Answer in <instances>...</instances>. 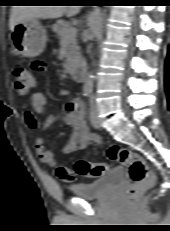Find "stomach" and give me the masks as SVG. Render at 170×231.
Masks as SVG:
<instances>
[{
  "label": "stomach",
  "mask_w": 170,
  "mask_h": 231,
  "mask_svg": "<svg viewBox=\"0 0 170 231\" xmlns=\"http://www.w3.org/2000/svg\"><path fill=\"white\" fill-rule=\"evenodd\" d=\"M46 40V30L36 19L19 23L12 31L13 47L24 57L40 55L46 46Z\"/></svg>",
  "instance_id": "0dacf381"
}]
</instances>
